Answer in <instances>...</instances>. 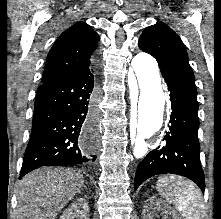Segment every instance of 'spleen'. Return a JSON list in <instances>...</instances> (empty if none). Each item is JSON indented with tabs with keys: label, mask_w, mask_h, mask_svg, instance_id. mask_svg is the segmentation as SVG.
Masks as SVG:
<instances>
[{
	"label": "spleen",
	"mask_w": 221,
	"mask_h": 219,
	"mask_svg": "<svg viewBox=\"0 0 221 219\" xmlns=\"http://www.w3.org/2000/svg\"><path fill=\"white\" fill-rule=\"evenodd\" d=\"M157 191L173 203L184 219H203L205 206L194 184L177 176H164L157 181Z\"/></svg>",
	"instance_id": "1"
}]
</instances>
